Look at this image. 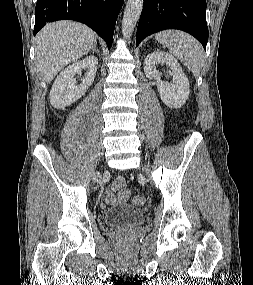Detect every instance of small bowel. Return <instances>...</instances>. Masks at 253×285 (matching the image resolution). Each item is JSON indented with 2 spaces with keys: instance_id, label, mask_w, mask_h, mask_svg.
<instances>
[{
  "instance_id": "obj_1",
  "label": "small bowel",
  "mask_w": 253,
  "mask_h": 285,
  "mask_svg": "<svg viewBox=\"0 0 253 285\" xmlns=\"http://www.w3.org/2000/svg\"><path fill=\"white\" fill-rule=\"evenodd\" d=\"M130 191L122 177L115 179L112 190L106 194L105 200L109 205L123 204L127 202Z\"/></svg>"
}]
</instances>
